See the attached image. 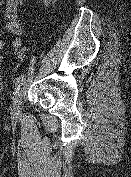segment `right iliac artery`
I'll list each match as a JSON object with an SVG mask.
<instances>
[{"label":"right iliac artery","instance_id":"obj_1","mask_svg":"<svg viewBox=\"0 0 131 177\" xmlns=\"http://www.w3.org/2000/svg\"><path fill=\"white\" fill-rule=\"evenodd\" d=\"M25 82V75H21L17 78L16 80V84H15V91L16 93L20 90L21 86L24 84Z\"/></svg>","mask_w":131,"mask_h":177}]
</instances>
